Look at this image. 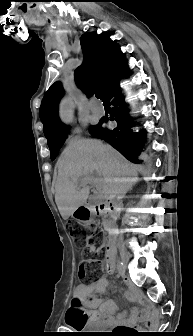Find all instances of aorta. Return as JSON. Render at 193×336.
Masks as SVG:
<instances>
[{
  "label": "aorta",
  "mask_w": 193,
  "mask_h": 336,
  "mask_svg": "<svg viewBox=\"0 0 193 336\" xmlns=\"http://www.w3.org/2000/svg\"><path fill=\"white\" fill-rule=\"evenodd\" d=\"M60 118L65 123L72 122L73 106L69 96L65 97L60 103Z\"/></svg>",
  "instance_id": "1"
}]
</instances>
